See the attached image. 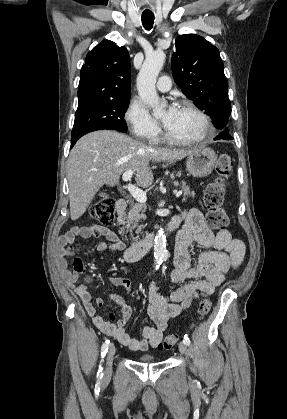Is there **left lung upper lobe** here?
<instances>
[{"label": "left lung upper lobe", "mask_w": 287, "mask_h": 419, "mask_svg": "<svg viewBox=\"0 0 287 419\" xmlns=\"http://www.w3.org/2000/svg\"><path fill=\"white\" fill-rule=\"evenodd\" d=\"M175 44L171 60L175 82L217 129L229 126L231 104L219 50L195 34L180 35Z\"/></svg>", "instance_id": "5c2ea615"}]
</instances>
